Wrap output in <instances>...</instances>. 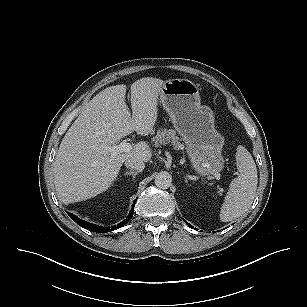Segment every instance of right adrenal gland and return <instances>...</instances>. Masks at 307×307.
<instances>
[{
  "instance_id": "obj_1",
  "label": "right adrenal gland",
  "mask_w": 307,
  "mask_h": 307,
  "mask_svg": "<svg viewBox=\"0 0 307 307\" xmlns=\"http://www.w3.org/2000/svg\"><path fill=\"white\" fill-rule=\"evenodd\" d=\"M139 172L137 171H126L125 172V175H132V178L135 179L136 175L138 174Z\"/></svg>"
}]
</instances>
